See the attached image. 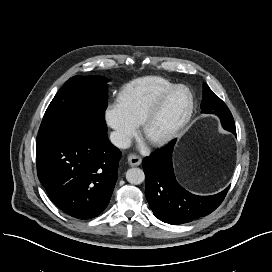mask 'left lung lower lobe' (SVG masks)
Listing matches in <instances>:
<instances>
[{
	"instance_id": "0a47b994",
	"label": "left lung lower lobe",
	"mask_w": 272,
	"mask_h": 272,
	"mask_svg": "<svg viewBox=\"0 0 272 272\" xmlns=\"http://www.w3.org/2000/svg\"><path fill=\"white\" fill-rule=\"evenodd\" d=\"M222 126L236 135L231 127V112L218 115ZM176 140L146 157L143 162L147 197L154 215L172 225L191 222L213 212L224 200L229 188L211 196H198L181 187L174 176L172 151Z\"/></svg>"
}]
</instances>
